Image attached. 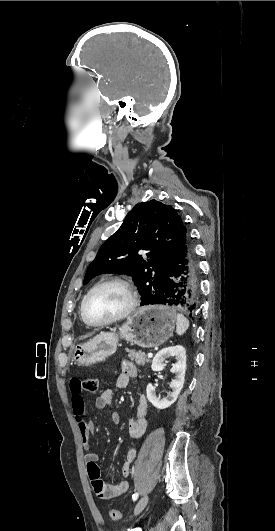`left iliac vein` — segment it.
Instances as JSON below:
<instances>
[{
	"instance_id": "4c4485c4",
	"label": "left iliac vein",
	"mask_w": 275,
	"mask_h": 531,
	"mask_svg": "<svg viewBox=\"0 0 275 531\" xmlns=\"http://www.w3.org/2000/svg\"><path fill=\"white\" fill-rule=\"evenodd\" d=\"M149 497L147 495H144L136 504L134 509V514H139L148 504Z\"/></svg>"
}]
</instances>
